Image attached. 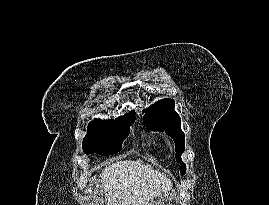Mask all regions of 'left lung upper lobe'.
Listing matches in <instances>:
<instances>
[{
  "label": "left lung upper lobe",
  "instance_id": "1",
  "mask_svg": "<svg viewBox=\"0 0 269 205\" xmlns=\"http://www.w3.org/2000/svg\"><path fill=\"white\" fill-rule=\"evenodd\" d=\"M173 99H163L143 110L144 123L149 130L166 131L175 142L176 158L181 161V154L184 151V133L181 130V119L174 110ZM186 172V165H181V175Z\"/></svg>",
  "mask_w": 269,
  "mask_h": 205
}]
</instances>
